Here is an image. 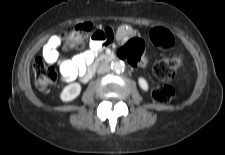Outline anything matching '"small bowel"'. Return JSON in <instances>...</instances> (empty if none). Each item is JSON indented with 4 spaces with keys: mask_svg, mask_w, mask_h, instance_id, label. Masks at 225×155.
Returning <instances> with one entry per match:
<instances>
[{
    "mask_svg": "<svg viewBox=\"0 0 225 155\" xmlns=\"http://www.w3.org/2000/svg\"><path fill=\"white\" fill-rule=\"evenodd\" d=\"M129 33L130 29L128 28L124 27L120 30V36L122 37L129 35ZM112 36L113 34L110 29L95 32L90 39V50L78 54L72 59L61 57L58 51L60 38L58 36H52L44 45L42 55L46 62L59 65L62 78L65 81H72L78 75H83L85 73L86 66L92 62L95 53L107 44ZM146 63L147 59L143 57L139 64L145 65Z\"/></svg>",
    "mask_w": 225,
    "mask_h": 155,
    "instance_id": "obj_1",
    "label": "small bowel"
}]
</instances>
